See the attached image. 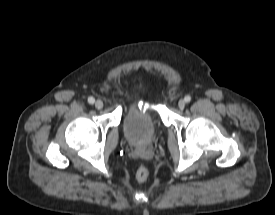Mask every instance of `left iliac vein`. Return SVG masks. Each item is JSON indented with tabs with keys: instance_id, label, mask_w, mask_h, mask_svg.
<instances>
[{
	"instance_id": "4c4485c4",
	"label": "left iliac vein",
	"mask_w": 275,
	"mask_h": 215,
	"mask_svg": "<svg viewBox=\"0 0 275 215\" xmlns=\"http://www.w3.org/2000/svg\"><path fill=\"white\" fill-rule=\"evenodd\" d=\"M185 105H186V103H185L184 100H179V102H178V108L180 110H183L185 108Z\"/></svg>"
}]
</instances>
